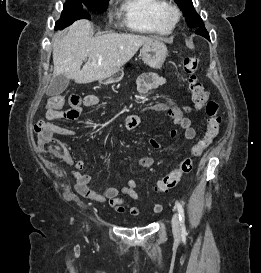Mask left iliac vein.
<instances>
[{
  "label": "left iliac vein",
  "mask_w": 261,
  "mask_h": 273,
  "mask_svg": "<svg viewBox=\"0 0 261 273\" xmlns=\"http://www.w3.org/2000/svg\"><path fill=\"white\" fill-rule=\"evenodd\" d=\"M171 223H172V229H173L174 235L176 236L180 235V232H181L180 221H179V217L177 213L173 214Z\"/></svg>",
  "instance_id": "4c4485c4"
}]
</instances>
